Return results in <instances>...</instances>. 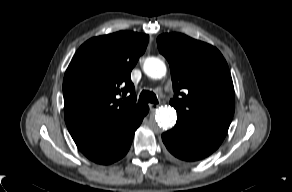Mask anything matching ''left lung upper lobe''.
<instances>
[{
  "label": "left lung upper lobe",
  "mask_w": 292,
  "mask_h": 192,
  "mask_svg": "<svg viewBox=\"0 0 292 192\" xmlns=\"http://www.w3.org/2000/svg\"><path fill=\"white\" fill-rule=\"evenodd\" d=\"M168 60L177 111L176 125L226 135L235 109V94L228 65L212 45L180 33L157 38ZM185 89V93L180 90ZM180 95V96H179Z\"/></svg>",
  "instance_id": "5c2ea615"
}]
</instances>
